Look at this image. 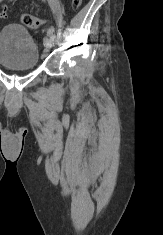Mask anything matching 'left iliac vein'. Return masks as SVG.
Here are the masks:
<instances>
[{
    "label": "left iliac vein",
    "mask_w": 163,
    "mask_h": 235,
    "mask_svg": "<svg viewBox=\"0 0 163 235\" xmlns=\"http://www.w3.org/2000/svg\"><path fill=\"white\" fill-rule=\"evenodd\" d=\"M43 42H44V45L46 47L44 55H47V52L49 51V49H51L54 40L50 36H45L44 39H43Z\"/></svg>",
    "instance_id": "obj_1"
}]
</instances>
